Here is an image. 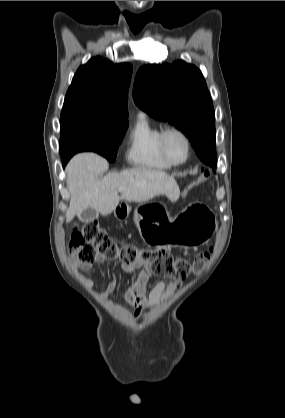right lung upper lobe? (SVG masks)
I'll return each instance as SVG.
<instances>
[{
    "label": "right lung upper lobe",
    "instance_id": "right-lung-upper-lobe-1",
    "mask_svg": "<svg viewBox=\"0 0 285 418\" xmlns=\"http://www.w3.org/2000/svg\"><path fill=\"white\" fill-rule=\"evenodd\" d=\"M133 67L92 58L77 70L62 112L83 113L128 123L127 97Z\"/></svg>",
    "mask_w": 285,
    "mask_h": 418
}]
</instances>
